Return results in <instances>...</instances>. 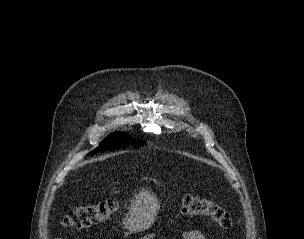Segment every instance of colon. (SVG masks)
<instances>
[{"mask_svg": "<svg viewBox=\"0 0 304 239\" xmlns=\"http://www.w3.org/2000/svg\"><path fill=\"white\" fill-rule=\"evenodd\" d=\"M118 209L119 203L114 199L81 204L61 219V225L70 230L88 228L109 219ZM180 210L184 214L208 217L222 229H229L232 225L227 210L210 198L184 194L180 197Z\"/></svg>", "mask_w": 304, "mask_h": 239, "instance_id": "colon-1", "label": "colon"}]
</instances>
